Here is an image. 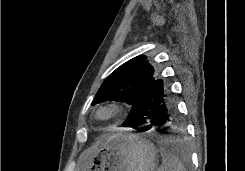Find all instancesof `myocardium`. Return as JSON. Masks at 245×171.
I'll use <instances>...</instances> for the list:
<instances>
[{"instance_id": "myocardium-1", "label": "myocardium", "mask_w": 245, "mask_h": 171, "mask_svg": "<svg viewBox=\"0 0 245 171\" xmlns=\"http://www.w3.org/2000/svg\"><path fill=\"white\" fill-rule=\"evenodd\" d=\"M121 110V106L117 103H108L99 107L97 110V118L108 121L118 116Z\"/></svg>"}]
</instances>
